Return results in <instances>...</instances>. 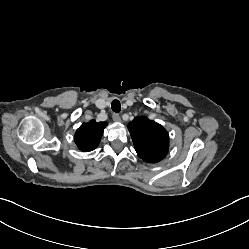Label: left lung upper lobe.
Wrapping results in <instances>:
<instances>
[{
	"mask_svg": "<svg viewBox=\"0 0 249 249\" xmlns=\"http://www.w3.org/2000/svg\"><path fill=\"white\" fill-rule=\"evenodd\" d=\"M128 129L135 150L141 159L149 163H157L167 155L169 135L159 123L140 116L128 124Z\"/></svg>",
	"mask_w": 249,
	"mask_h": 249,
	"instance_id": "5c2ea615",
	"label": "left lung upper lobe"
}]
</instances>
